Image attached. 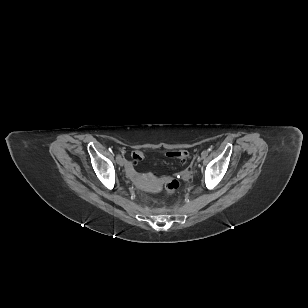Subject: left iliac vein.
Segmentation results:
<instances>
[{
	"instance_id": "left-iliac-vein-1",
	"label": "left iliac vein",
	"mask_w": 308,
	"mask_h": 308,
	"mask_svg": "<svg viewBox=\"0 0 308 308\" xmlns=\"http://www.w3.org/2000/svg\"><path fill=\"white\" fill-rule=\"evenodd\" d=\"M203 155L201 157H198V161H201L203 159Z\"/></svg>"
}]
</instances>
